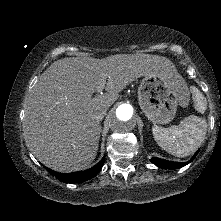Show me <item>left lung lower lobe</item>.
<instances>
[{
	"label": "left lung lower lobe",
	"mask_w": 221,
	"mask_h": 221,
	"mask_svg": "<svg viewBox=\"0 0 221 221\" xmlns=\"http://www.w3.org/2000/svg\"><path fill=\"white\" fill-rule=\"evenodd\" d=\"M198 152L195 153V155L193 156L192 159H190L188 162H172V161H167V160H163V159H159L156 157H153L150 159V161L155 164L156 166L160 167V168H164V169H177V168H181L187 164H189L191 161H193V159L195 158V156L197 155Z\"/></svg>",
	"instance_id": "1"
}]
</instances>
